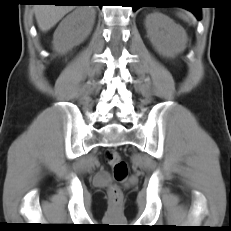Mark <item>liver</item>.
Listing matches in <instances>:
<instances>
[{
  "mask_svg": "<svg viewBox=\"0 0 231 231\" xmlns=\"http://www.w3.org/2000/svg\"><path fill=\"white\" fill-rule=\"evenodd\" d=\"M75 8L73 5H37L34 13L41 31L54 27L67 13Z\"/></svg>",
  "mask_w": 231,
  "mask_h": 231,
  "instance_id": "6515ba94",
  "label": "liver"
}]
</instances>
